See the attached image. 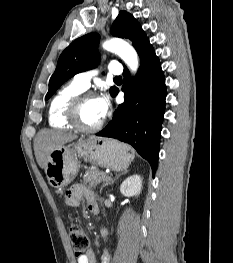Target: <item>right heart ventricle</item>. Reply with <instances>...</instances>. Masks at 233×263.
<instances>
[{
	"label": "right heart ventricle",
	"instance_id": "e07e8e85",
	"mask_svg": "<svg viewBox=\"0 0 233 263\" xmlns=\"http://www.w3.org/2000/svg\"><path fill=\"white\" fill-rule=\"evenodd\" d=\"M84 90L72 81L57 91L48 109V121L51 127L68 129L73 127L66 117L67 106L74 96Z\"/></svg>",
	"mask_w": 233,
	"mask_h": 263
}]
</instances>
